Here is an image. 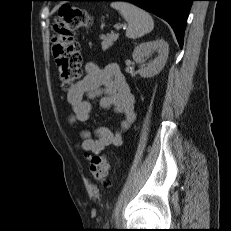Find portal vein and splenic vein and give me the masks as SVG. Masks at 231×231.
<instances>
[{
    "label": "portal vein and splenic vein",
    "mask_w": 231,
    "mask_h": 231,
    "mask_svg": "<svg viewBox=\"0 0 231 231\" xmlns=\"http://www.w3.org/2000/svg\"><path fill=\"white\" fill-rule=\"evenodd\" d=\"M115 28L116 30H120L121 28L126 29L127 26L126 25H116Z\"/></svg>",
    "instance_id": "portal-vein-and-splenic-vein-1"
}]
</instances>
